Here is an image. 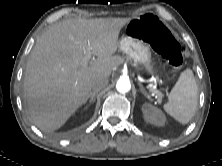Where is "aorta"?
I'll return each mask as SVG.
<instances>
[{
  "instance_id": "1",
  "label": "aorta",
  "mask_w": 222,
  "mask_h": 166,
  "mask_svg": "<svg viewBox=\"0 0 222 166\" xmlns=\"http://www.w3.org/2000/svg\"><path fill=\"white\" fill-rule=\"evenodd\" d=\"M116 89L120 93H127L131 89V84L128 79H119L116 84Z\"/></svg>"
}]
</instances>
